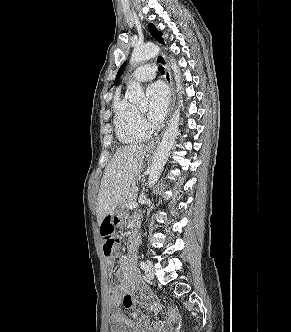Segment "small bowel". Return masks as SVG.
<instances>
[{
    "label": "small bowel",
    "instance_id": "1",
    "mask_svg": "<svg viewBox=\"0 0 291 332\" xmlns=\"http://www.w3.org/2000/svg\"><path fill=\"white\" fill-rule=\"evenodd\" d=\"M107 267L108 273L111 274L114 268L112 260L107 261ZM116 277L118 283L109 292L111 332H165L176 319V313L168 310L165 320L150 324L144 311L159 312L162 307L160 303L149 298L146 288L141 285L133 254L119 257ZM135 304H138V307L133 309ZM123 308L132 309L131 314L126 315Z\"/></svg>",
    "mask_w": 291,
    "mask_h": 332
}]
</instances>
